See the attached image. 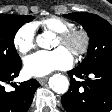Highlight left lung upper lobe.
Segmentation results:
<instances>
[{"mask_svg":"<svg viewBox=\"0 0 112 112\" xmlns=\"http://www.w3.org/2000/svg\"><path fill=\"white\" fill-rule=\"evenodd\" d=\"M65 18L80 23L90 40L87 57L77 66L92 68L100 63L112 61V25L98 15L87 12L64 14Z\"/></svg>","mask_w":112,"mask_h":112,"instance_id":"5c2ea615","label":"left lung upper lobe"}]
</instances>
